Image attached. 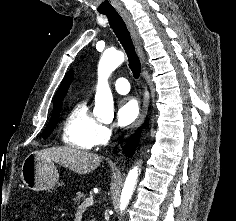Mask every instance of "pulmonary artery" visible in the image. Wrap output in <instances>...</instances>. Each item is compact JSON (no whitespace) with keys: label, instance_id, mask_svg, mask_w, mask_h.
I'll use <instances>...</instances> for the list:
<instances>
[{"label":"pulmonary artery","instance_id":"1","mask_svg":"<svg viewBox=\"0 0 236 221\" xmlns=\"http://www.w3.org/2000/svg\"><path fill=\"white\" fill-rule=\"evenodd\" d=\"M113 86L115 88V90L120 93V94H125L128 93L130 90V85L129 82L126 78H116L113 81Z\"/></svg>","mask_w":236,"mask_h":221}]
</instances>
